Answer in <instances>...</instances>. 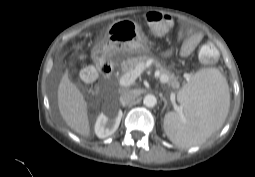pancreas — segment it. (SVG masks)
Instances as JSON below:
<instances>
[{"mask_svg": "<svg viewBox=\"0 0 255 177\" xmlns=\"http://www.w3.org/2000/svg\"><path fill=\"white\" fill-rule=\"evenodd\" d=\"M150 59L151 58L148 55H139L137 57L127 58L121 63L122 71L123 73L131 72L136 68L137 65L139 64L145 65ZM156 65L159 68L160 73L159 78L161 79V82L167 83L173 88H178L179 82L174 73H171L169 70L161 67L159 63H156ZM162 77H165L166 81H162Z\"/></svg>", "mask_w": 255, "mask_h": 177, "instance_id": "cf45deb5", "label": "pancreas"}]
</instances>
